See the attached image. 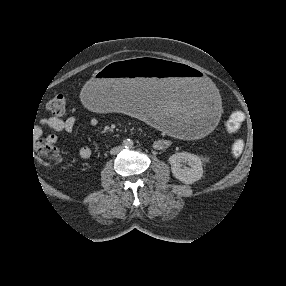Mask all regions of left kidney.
Returning a JSON list of instances; mask_svg holds the SVG:
<instances>
[{
  "label": "left kidney",
  "mask_w": 286,
  "mask_h": 286,
  "mask_svg": "<svg viewBox=\"0 0 286 286\" xmlns=\"http://www.w3.org/2000/svg\"><path fill=\"white\" fill-rule=\"evenodd\" d=\"M168 161L173 176L185 184H192L203 176L202 162L197 155L179 152L170 156Z\"/></svg>",
  "instance_id": "left-kidney-1"
}]
</instances>
